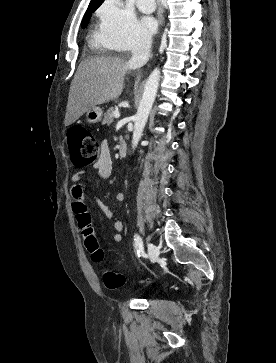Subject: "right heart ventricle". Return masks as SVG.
<instances>
[{
    "mask_svg": "<svg viewBox=\"0 0 276 363\" xmlns=\"http://www.w3.org/2000/svg\"><path fill=\"white\" fill-rule=\"evenodd\" d=\"M90 43L96 50L101 51V52H107V51H112V50L117 49L113 43L108 41L103 36V34L101 33L100 30H95L92 33Z\"/></svg>",
    "mask_w": 276,
    "mask_h": 363,
    "instance_id": "1",
    "label": "right heart ventricle"
}]
</instances>
